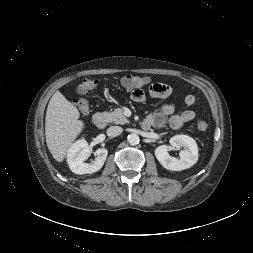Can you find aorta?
I'll return each instance as SVG.
<instances>
[{"mask_svg":"<svg viewBox=\"0 0 253 253\" xmlns=\"http://www.w3.org/2000/svg\"><path fill=\"white\" fill-rule=\"evenodd\" d=\"M127 141L130 145H137L139 143L140 139L136 133H131L128 135Z\"/></svg>","mask_w":253,"mask_h":253,"instance_id":"aorta-1","label":"aorta"}]
</instances>
